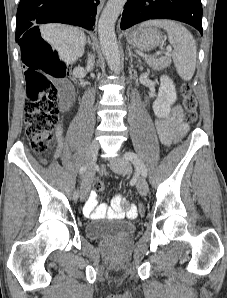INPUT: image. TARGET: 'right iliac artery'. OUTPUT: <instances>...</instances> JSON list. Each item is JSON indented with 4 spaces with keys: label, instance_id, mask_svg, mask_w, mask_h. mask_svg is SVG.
Instances as JSON below:
<instances>
[{
    "label": "right iliac artery",
    "instance_id": "1",
    "mask_svg": "<svg viewBox=\"0 0 227 298\" xmlns=\"http://www.w3.org/2000/svg\"><path fill=\"white\" fill-rule=\"evenodd\" d=\"M86 169H87L86 166H82V167L80 168V170H79V174H80V175H83V174L86 172ZM78 196H79V191H78V190H75V191H74V194H73V198L76 200V199L78 198Z\"/></svg>",
    "mask_w": 227,
    "mask_h": 298
}]
</instances>
